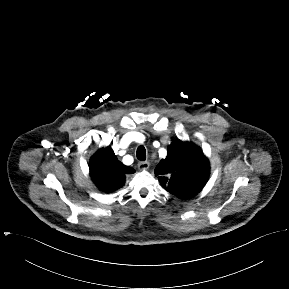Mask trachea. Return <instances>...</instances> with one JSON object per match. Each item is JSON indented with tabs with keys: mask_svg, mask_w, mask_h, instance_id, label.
<instances>
[{
	"mask_svg": "<svg viewBox=\"0 0 289 289\" xmlns=\"http://www.w3.org/2000/svg\"><path fill=\"white\" fill-rule=\"evenodd\" d=\"M136 156L139 160L144 161L146 160V150L144 146H139L136 151Z\"/></svg>",
	"mask_w": 289,
	"mask_h": 289,
	"instance_id": "trachea-1",
	"label": "trachea"
}]
</instances>
